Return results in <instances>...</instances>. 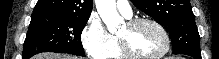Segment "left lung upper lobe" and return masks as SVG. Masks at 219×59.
Wrapping results in <instances>:
<instances>
[{"label": "left lung upper lobe", "mask_w": 219, "mask_h": 59, "mask_svg": "<svg viewBox=\"0 0 219 59\" xmlns=\"http://www.w3.org/2000/svg\"><path fill=\"white\" fill-rule=\"evenodd\" d=\"M133 4L169 28L174 54L200 52V36L190 0H132Z\"/></svg>", "instance_id": "5c2ea615"}]
</instances>
